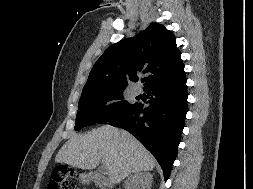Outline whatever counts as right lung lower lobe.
I'll return each instance as SVG.
<instances>
[{"label":"right lung lower lobe","mask_w":253,"mask_h":189,"mask_svg":"<svg viewBox=\"0 0 253 189\" xmlns=\"http://www.w3.org/2000/svg\"><path fill=\"white\" fill-rule=\"evenodd\" d=\"M149 106L136 103L108 123L121 127L139 139L161 165L165 181L177 155L187 113L185 74L145 89Z\"/></svg>","instance_id":"obj_1"}]
</instances>
